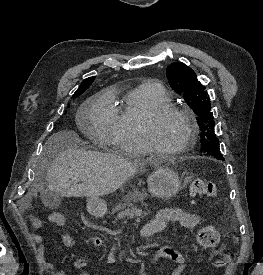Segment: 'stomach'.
Instances as JSON below:
<instances>
[{
    "mask_svg": "<svg viewBox=\"0 0 263 275\" xmlns=\"http://www.w3.org/2000/svg\"><path fill=\"white\" fill-rule=\"evenodd\" d=\"M181 188L178 173L171 168L158 167L148 177L149 192L155 197L170 198L176 195ZM87 209L90 214L99 218L107 212V205L103 200L90 199Z\"/></svg>",
    "mask_w": 263,
    "mask_h": 275,
    "instance_id": "obj_1",
    "label": "stomach"
}]
</instances>
